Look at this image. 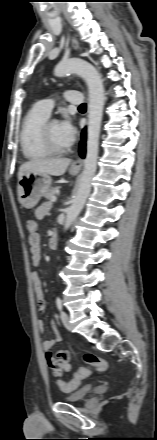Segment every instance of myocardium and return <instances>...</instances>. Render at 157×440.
I'll list each match as a JSON object with an SVG mask.
<instances>
[{
	"label": "myocardium",
	"mask_w": 157,
	"mask_h": 440,
	"mask_svg": "<svg viewBox=\"0 0 157 440\" xmlns=\"http://www.w3.org/2000/svg\"><path fill=\"white\" fill-rule=\"evenodd\" d=\"M56 122L55 120H46L42 126H41V130H40V136H41V140L44 144V146L46 147V149L49 151V153L51 154H64L66 152L69 151L70 147H58L56 146L50 136V132H49V128L50 125L52 123Z\"/></svg>",
	"instance_id": "obj_1"
}]
</instances>
